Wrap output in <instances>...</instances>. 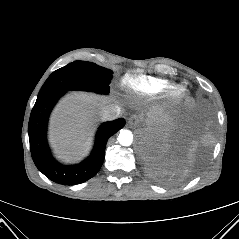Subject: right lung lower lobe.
<instances>
[{
  "label": "right lung lower lobe",
  "instance_id": "obj_1",
  "mask_svg": "<svg viewBox=\"0 0 239 239\" xmlns=\"http://www.w3.org/2000/svg\"><path fill=\"white\" fill-rule=\"evenodd\" d=\"M64 93L58 91L37 98L30 115L28 134L31 155L36 167L56 183L75 185L89 180L98 173L104 161L108 138L124 127L125 120L117 119L102 124L90 156L80 164L63 165L52 157L47 144L46 131L49 114Z\"/></svg>",
  "mask_w": 239,
  "mask_h": 239
}]
</instances>
